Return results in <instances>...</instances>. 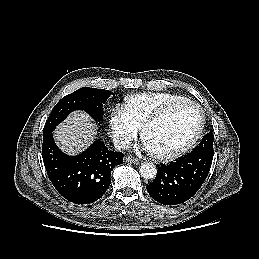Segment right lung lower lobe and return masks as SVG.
I'll use <instances>...</instances> for the list:
<instances>
[{
  "instance_id": "right-lung-lower-lobe-1",
  "label": "right lung lower lobe",
  "mask_w": 259,
  "mask_h": 259,
  "mask_svg": "<svg viewBox=\"0 0 259 259\" xmlns=\"http://www.w3.org/2000/svg\"><path fill=\"white\" fill-rule=\"evenodd\" d=\"M42 157L53 186L76 204L100 199L110 185L112 169L123 163V153L108 150L101 140L77 156H68L57 147L52 132L43 136Z\"/></svg>"
}]
</instances>
